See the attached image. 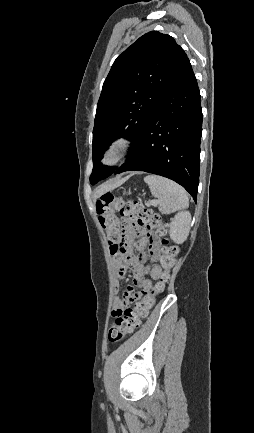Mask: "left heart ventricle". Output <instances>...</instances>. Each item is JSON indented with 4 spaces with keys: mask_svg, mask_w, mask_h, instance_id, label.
<instances>
[{
    "mask_svg": "<svg viewBox=\"0 0 254 433\" xmlns=\"http://www.w3.org/2000/svg\"><path fill=\"white\" fill-rule=\"evenodd\" d=\"M111 159H112V156H109V157L107 158L108 161H110Z\"/></svg>",
    "mask_w": 254,
    "mask_h": 433,
    "instance_id": "b2bd125f",
    "label": "left heart ventricle"
}]
</instances>
